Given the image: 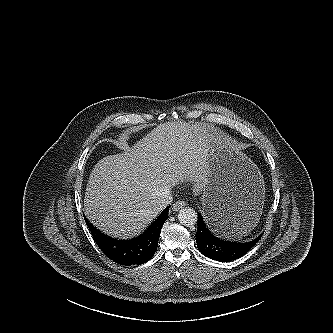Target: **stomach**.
<instances>
[{
  "instance_id": "obj_1",
  "label": "stomach",
  "mask_w": 333,
  "mask_h": 333,
  "mask_svg": "<svg viewBox=\"0 0 333 333\" xmlns=\"http://www.w3.org/2000/svg\"><path fill=\"white\" fill-rule=\"evenodd\" d=\"M207 183L202 195L206 220L216 233L244 234L259 218L265 197L257 165L230 141L209 128Z\"/></svg>"
}]
</instances>
